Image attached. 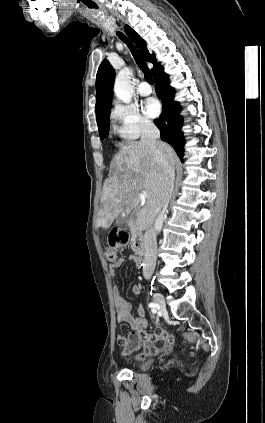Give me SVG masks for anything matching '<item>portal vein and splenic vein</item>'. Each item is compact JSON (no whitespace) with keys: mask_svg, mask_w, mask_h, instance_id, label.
Segmentation results:
<instances>
[{"mask_svg":"<svg viewBox=\"0 0 265 423\" xmlns=\"http://www.w3.org/2000/svg\"><path fill=\"white\" fill-rule=\"evenodd\" d=\"M147 196H148V194H147V192H146V191H142V192L140 193V198H141V199H146V198H147Z\"/></svg>","mask_w":265,"mask_h":423,"instance_id":"18ae733b","label":"portal vein and splenic vein"}]
</instances>
